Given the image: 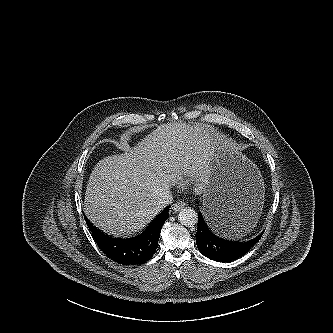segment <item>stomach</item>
I'll return each mask as SVG.
<instances>
[{
	"instance_id": "obj_1",
	"label": "stomach",
	"mask_w": 333,
	"mask_h": 333,
	"mask_svg": "<svg viewBox=\"0 0 333 333\" xmlns=\"http://www.w3.org/2000/svg\"><path fill=\"white\" fill-rule=\"evenodd\" d=\"M203 210L217 233L239 236L258 221L264 203V182L257 166L228 141L211 133Z\"/></svg>"
}]
</instances>
